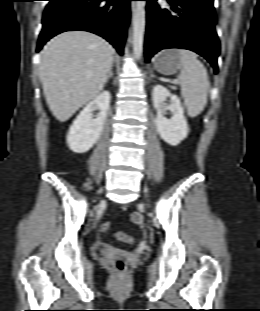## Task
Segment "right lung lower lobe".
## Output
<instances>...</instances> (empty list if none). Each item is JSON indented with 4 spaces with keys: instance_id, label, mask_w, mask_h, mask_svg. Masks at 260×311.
<instances>
[{
    "instance_id": "right-lung-lower-lobe-1",
    "label": "right lung lower lobe",
    "mask_w": 260,
    "mask_h": 311,
    "mask_svg": "<svg viewBox=\"0 0 260 311\" xmlns=\"http://www.w3.org/2000/svg\"><path fill=\"white\" fill-rule=\"evenodd\" d=\"M37 51L53 36L71 30L95 33L123 53L131 0H48Z\"/></svg>"
}]
</instances>
